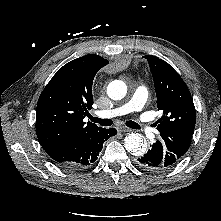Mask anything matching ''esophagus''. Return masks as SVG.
Wrapping results in <instances>:
<instances>
[{
  "label": "esophagus",
  "instance_id": "34e87169",
  "mask_svg": "<svg viewBox=\"0 0 221 221\" xmlns=\"http://www.w3.org/2000/svg\"><path fill=\"white\" fill-rule=\"evenodd\" d=\"M117 130H118V132H121V133H125V132L131 131V129H129V128L125 127V126H118Z\"/></svg>",
  "mask_w": 221,
  "mask_h": 221
}]
</instances>
